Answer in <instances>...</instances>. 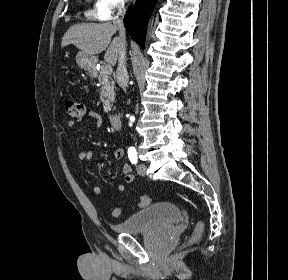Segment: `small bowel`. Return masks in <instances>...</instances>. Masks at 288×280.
Returning <instances> with one entry per match:
<instances>
[{"label": "small bowel", "instance_id": "c3829d8e", "mask_svg": "<svg viewBox=\"0 0 288 280\" xmlns=\"http://www.w3.org/2000/svg\"><path fill=\"white\" fill-rule=\"evenodd\" d=\"M86 114H87V117L94 122V124L97 128H99L101 126L102 120H101V117L98 113L90 110V111H87ZM74 125H75L74 121L68 122L69 127H73ZM110 154L114 159H116L118 161H122L125 158V152L121 148L113 149ZM92 157H93V153L91 151H88V150L81 151L78 153V159L82 160V161H89ZM121 172H122L124 180L127 184H132L134 182V175L132 174V168L128 163L122 164ZM115 190L117 192H123L125 190V185L119 183L115 186ZM92 192L94 195L99 196L102 193V189L99 186H94L92 188Z\"/></svg>", "mask_w": 288, "mask_h": 280}]
</instances>
